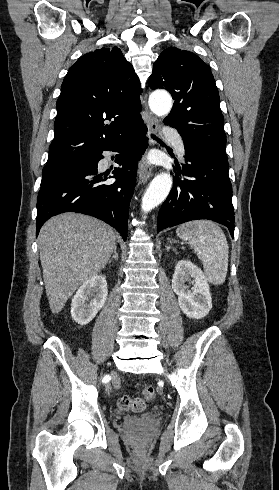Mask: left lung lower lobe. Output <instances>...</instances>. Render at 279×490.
Instances as JSON below:
<instances>
[{"label": "left lung lower lobe", "instance_id": "left-lung-lower-lobe-1", "mask_svg": "<svg viewBox=\"0 0 279 490\" xmlns=\"http://www.w3.org/2000/svg\"><path fill=\"white\" fill-rule=\"evenodd\" d=\"M185 164L158 215L157 232L191 220L226 226L234 238V208L225 151L203 141L183 139Z\"/></svg>", "mask_w": 279, "mask_h": 490}]
</instances>
